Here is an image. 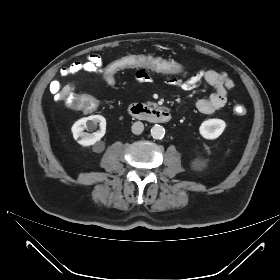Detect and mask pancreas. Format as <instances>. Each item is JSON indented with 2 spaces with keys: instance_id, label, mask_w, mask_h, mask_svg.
<instances>
[{
  "instance_id": "1",
  "label": "pancreas",
  "mask_w": 280,
  "mask_h": 280,
  "mask_svg": "<svg viewBox=\"0 0 280 280\" xmlns=\"http://www.w3.org/2000/svg\"><path fill=\"white\" fill-rule=\"evenodd\" d=\"M147 104H148V105H154V103H152V102H148Z\"/></svg>"
}]
</instances>
